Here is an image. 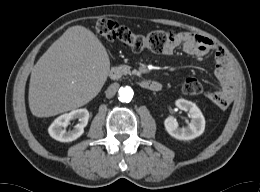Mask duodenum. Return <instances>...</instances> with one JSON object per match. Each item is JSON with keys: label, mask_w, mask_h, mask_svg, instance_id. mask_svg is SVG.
<instances>
[{"label": "duodenum", "mask_w": 260, "mask_h": 192, "mask_svg": "<svg viewBox=\"0 0 260 192\" xmlns=\"http://www.w3.org/2000/svg\"><path fill=\"white\" fill-rule=\"evenodd\" d=\"M109 76L112 80H117L121 76V71L119 68H112L109 72ZM140 86L148 91L157 92L160 91L162 88V85L154 80H142L140 82Z\"/></svg>", "instance_id": "1"}]
</instances>
